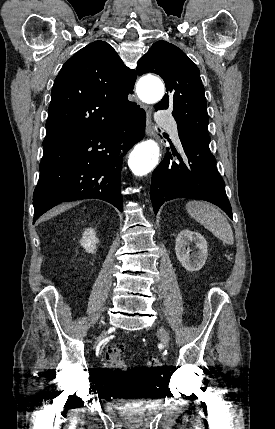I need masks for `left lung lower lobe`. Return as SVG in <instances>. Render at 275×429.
<instances>
[{"instance_id": "left-lung-lower-lobe-1", "label": "left lung lower lobe", "mask_w": 275, "mask_h": 429, "mask_svg": "<svg viewBox=\"0 0 275 429\" xmlns=\"http://www.w3.org/2000/svg\"><path fill=\"white\" fill-rule=\"evenodd\" d=\"M184 159L175 151V161L167 150L165 158L152 173L150 196L154 212L175 198L199 199L220 207L232 219V209L225 192L223 178L216 168V159L209 142L202 137L178 131Z\"/></svg>"}]
</instances>
